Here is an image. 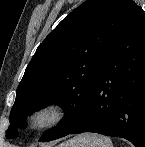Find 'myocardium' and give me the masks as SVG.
<instances>
[{"label": "myocardium", "mask_w": 145, "mask_h": 147, "mask_svg": "<svg viewBox=\"0 0 145 147\" xmlns=\"http://www.w3.org/2000/svg\"><path fill=\"white\" fill-rule=\"evenodd\" d=\"M67 117V106L58 100H50L37 105L29 112L27 125L34 131H46L60 126Z\"/></svg>", "instance_id": "1"}]
</instances>
